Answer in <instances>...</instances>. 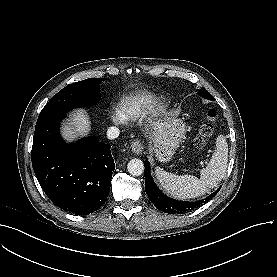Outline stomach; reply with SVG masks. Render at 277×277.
Returning <instances> with one entry per match:
<instances>
[{
  "mask_svg": "<svg viewBox=\"0 0 277 277\" xmlns=\"http://www.w3.org/2000/svg\"><path fill=\"white\" fill-rule=\"evenodd\" d=\"M185 123L175 115H169L156 123L150 133V152L160 162L172 159L175 150L185 136Z\"/></svg>",
  "mask_w": 277,
  "mask_h": 277,
  "instance_id": "0dacf381",
  "label": "stomach"
}]
</instances>
